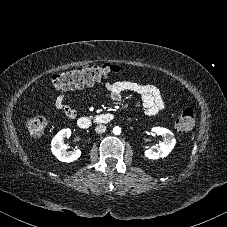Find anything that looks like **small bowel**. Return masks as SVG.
<instances>
[{
    "instance_id": "obj_1",
    "label": "small bowel",
    "mask_w": 227,
    "mask_h": 227,
    "mask_svg": "<svg viewBox=\"0 0 227 227\" xmlns=\"http://www.w3.org/2000/svg\"><path fill=\"white\" fill-rule=\"evenodd\" d=\"M107 95L110 99L118 101L122 98L124 93L132 92L141 98L144 112L153 116L164 108V101L158 87L149 84H141L134 81H117L108 82L105 85ZM53 106L55 109L61 111L68 118H74L76 110L69 102L66 95L57 97Z\"/></svg>"
}]
</instances>
